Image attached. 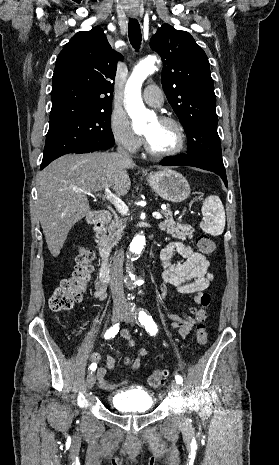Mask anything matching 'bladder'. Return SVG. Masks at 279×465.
<instances>
[{
  "label": "bladder",
  "mask_w": 279,
  "mask_h": 465,
  "mask_svg": "<svg viewBox=\"0 0 279 465\" xmlns=\"http://www.w3.org/2000/svg\"><path fill=\"white\" fill-rule=\"evenodd\" d=\"M110 407L119 412L148 413L155 405L151 392L139 387H129L108 397Z\"/></svg>",
  "instance_id": "1"
}]
</instances>
